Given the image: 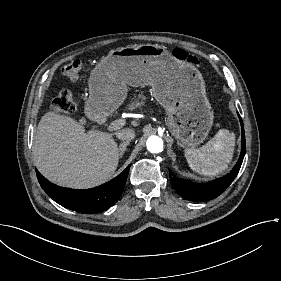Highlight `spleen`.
Here are the masks:
<instances>
[{
	"mask_svg": "<svg viewBox=\"0 0 281 281\" xmlns=\"http://www.w3.org/2000/svg\"><path fill=\"white\" fill-rule=\"evenodd\" d=\"M235 134L220 129L205 145L186 149L185 157L190 168L203 175L216 176L228 168L235 147Z\"/></svg>",
	"mask_w": 281,
	"mask_h": 281,
	"instance_id": "spleen-1",
	"label": "spleen"
}]
</instances>
